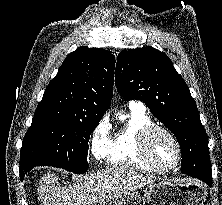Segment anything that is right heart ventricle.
<instances>
[{"instance_id": "e07e8e85", "label": "right heart ventricle", "mask_w": 222, "mask_h": 205, "mask_svg": "<svg viewBox=\"0 0 222 205\" xmlns=\"http://www.w3.org/2000/svg\"><path fill=\"white\" fill-rule=\"evenodd\" d=\"M151 124L144 110L130 107L128 122L110 140L106 153L107 162L113 166L131 167L144 172L158 173L143 159L138 147L140 131Z\"/></svg>"}]
</instances>
